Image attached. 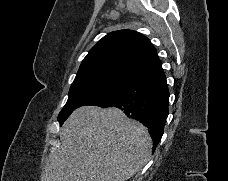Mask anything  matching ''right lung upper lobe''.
Listing matches in <instances>:
<instances>
[{
  "label": "right lung upper lobe",
  "instance_id": "cb5924a9",
  "mask_svg": "<svg viewBox=\"0 0 228 181\" xmlns=\"http://www.w3.org/2000/svg\"><path fill=\"white\" fill-rule=\"evenodd\" d=\"M161 64L149 39L132 30L103 37L83 59L75 79L108 75L133 79Z\"/></svg>",
  "mask_w": 228,
  "mask_h": 181
}]
</instances>
